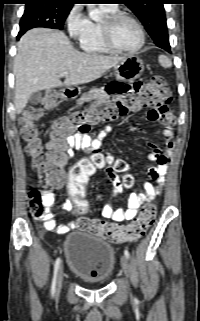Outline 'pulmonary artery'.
<instances>
[{
  "label": "pulmonary artery",
  "mask_w": 200,
  "mask_h": 321,
  "mask_svg": "<svg viewBox=\"0 0 200 321\" xmlns=\"http://www.w3.org/2000/svg\"><path fill=\"white\" fill-rule=\"evenodd\" d=\"M108 7H117L115 4H109V5H106Z\"/></svg>",
  "instance_id": "obj_1"
}]
</instances>
